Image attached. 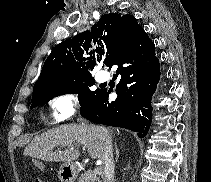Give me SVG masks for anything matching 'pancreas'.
Here are the masks:
<instances>
[{
	"label": "pancreas",
	"mask_w": 211,
	"mask_h": 182,
	"mask_svg": "<svg viewBox=\"0 0 211 182\" xmlns=\"http://www.w3.org/2000/svg\"><path fill=\"white\" fill-rule=\"evenodd\" d=\"M78 182H101V180L96 170H88L80 175Z\"/></svg>",
	"instance_id": "cf45deb5"
}]
</instances>
